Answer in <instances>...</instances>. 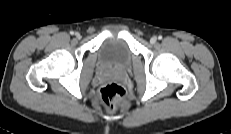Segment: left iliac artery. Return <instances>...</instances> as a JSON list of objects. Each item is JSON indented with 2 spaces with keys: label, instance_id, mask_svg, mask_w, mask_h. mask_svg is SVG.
Segmentation results:
<instances>
[{
  "label": "left iliac artery",
  "instance_id": "left-iliac-artery-1",
  "mask_svg": "<svg viewBox=\"0 0 231 134\" xmlns=\"http://www.w3.org/2000/svg\"><path fill=\"white\" fill-rule=\"evenodd\" d=\"M158 39H162V36H159Z\"/></svg>",
  "mask_w": 231,
  "mask_h": 134
}]
</instances>
